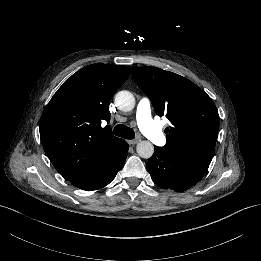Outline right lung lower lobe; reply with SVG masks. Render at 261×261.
Wrapping results in <instances>:
<instances>
[{
    "instance_id": "98d812e1",
    "label": "right lung lower lobe",
    "mask_w": 261,
    "mask_h": 261,
    "mask_svg": "<svg viewBox=\"0 0 261 261\" xmlns=\"http://www.w3.org/2000/svg\"><path fill=\"white\" fill-rule=\"evenodd\" d=\"M128 148L129 145L125 141L101 166L83 176L73 179L70 181L71 184L87 191L97 190L106 186L122 168L127 157Z\"/></svg>"
}]
</instances>
